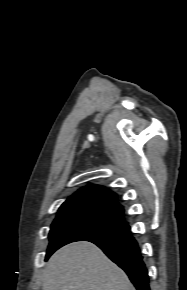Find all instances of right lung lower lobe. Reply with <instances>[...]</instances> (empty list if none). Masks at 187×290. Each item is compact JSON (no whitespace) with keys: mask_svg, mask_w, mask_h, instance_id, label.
<instances>
[{"mask_svg":"<svg viewBox=\"0 0 187 290\" xmlns=\"http://www.w3.org/2000/svg\"><path fill=\"white\" fill-rule=\"evenodd\" d=\"M129 276L137 290H150L148 271L130 229L89 239Z\"/></svg>","mask_w":187,"mask_h":290,"instance_id":"obj_1","label":"right lung lower lobe"}]
</instances>
